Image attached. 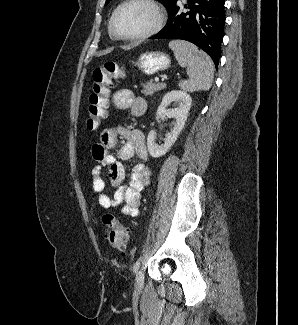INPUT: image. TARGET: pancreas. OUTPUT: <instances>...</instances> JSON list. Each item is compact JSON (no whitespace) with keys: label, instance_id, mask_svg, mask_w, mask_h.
I'll list each match as a JSON object with an SVG mask.
<instances>
[{"label":"pancreas","instance_id":"pancreas-1","mask_svg":"<svg viewBox=\"0 0 298 325\" xmlns=\"http://www.w3.org/2000/svg\"><path fill=\"white\" fill-rule=\"evenodd\" d=\"M141 86L140 92H142L144 96H153L158 90L166 88L165 82H152V80H150V82H142Z\"/></svg>","mask_w":298,"mask_h":325}]
</instances>
